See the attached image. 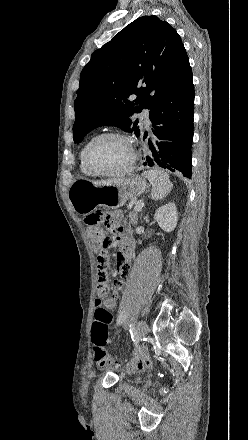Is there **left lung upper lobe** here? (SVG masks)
I'll return each instance as SVG.
<instances>
[{"mask_svg":"<svg viewBox=\"0 0 248 440\" xmlns=\"http://www.w3.org/2000/svg\"><path fill=\"white\" fill-rule=\"evenodd\" d=\"M191 80L189 59L175 29L153 15L136 19L96 50L83 68L74 101V142L103 125L139 136L132 115L143 108L151 115L171 91Z\"/></svg>","mask_w":248,"mask_h":440,"instance_id":"obj_1","label":"left lung upper lobe"}]
</instances>
